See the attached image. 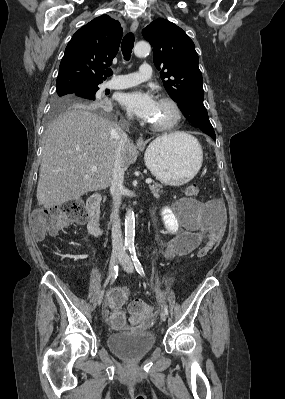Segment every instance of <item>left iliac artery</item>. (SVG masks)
I'll return each instance as SVG.
<instances>
[{
  "mask_svg": "<svg viewBox=\"0 0 285 399\" xmlns=\"http://www.w3.org/2000/svg\"><path fill=\"white\" fill-rule=\"evenodd\" d=\"M129 250H130L131 258H132V261H133V263H134V267H135L136 271H137L141 276H145L143 267H142L140 261H139L138 258H137V255H136V252H135V248L133 247V248H131V249H129ZM162 307H163V310H164L165 314L168 315L169 311H168L167 306H166V305H162Z\"/></svg>",
  "mask_w": 285,
  "mask_h": 399,
  "instance_id": "1",
  "label": "left iliac artery"
}]
</instances>
